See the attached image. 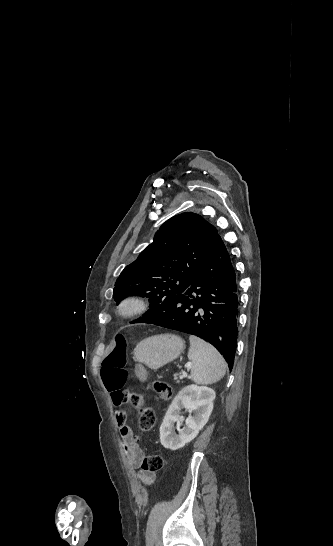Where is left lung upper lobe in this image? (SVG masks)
Returning a JSON list of instances; mask_svg holds the SVG:
<instances>
[{
  "label": "left lung upper lobe",
  "instance_id": "5c2ea615",
  "mask_svg": "<svg viewBox=\"0 0 333 546\" xmlns=\"http://www.w3.org/2000/svg\"><path fill=\"white\" fill-rule=\"evenodd\" d=\"M218 235L200 215L185 212L164 224L154 241L118 277L113 297L119 303L131 295L147 296L151 321L167 311L170 301L191 284Z\"/></svg>",
  "mask_w": 333,
  "mask_h": 546
}]
</instances>
